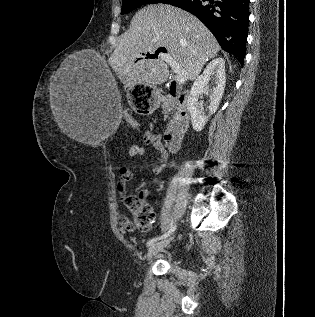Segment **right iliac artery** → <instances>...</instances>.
Segmentation results:
<instances>
[{
  "label": "right iliac artery",
  "mask_w": 315,
  "mask_h": 317,
  "mask_svg": "<svg viewBox=\"0 0 315 317\" xmlns=\"http://www.w3.org/2000/svg\"><path fill=\"white\" fill-rule=\"evenodd\" d=\"M176 229V225H173L170 230L166 233H164L163 235L159 236V237H155L153 239H150L148 242H147V247L153 245L155 242H157L158 240H162V239H165L167 238L168 236H170Z\"/></svg>",
  "instance_id": "1"
}]
</instances>
